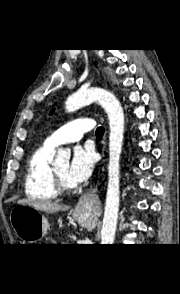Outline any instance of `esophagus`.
Returning a JSON list of instances; mask_svg holds the SVG:
<instances>
[{"label": "esophagus", "instance_id": "34e87169", "mask_svg": "<svg viewBox=\"0 0 180 294\" xmlns=\"http://www.w3.org/2000/svg\"><path fill=\"white\" fill-rule=\"evenodd\" d=\"M74 211L91 218H98L101 215L102 209L97 185L91 186L81 195Z\"/></svg>", "mask_w": 180, "mask_h": 294}]
</instances>
